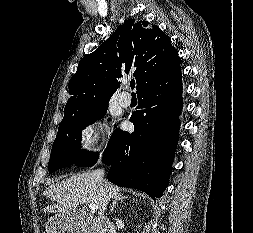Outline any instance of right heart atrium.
<instances>
[{"instance_id":"obj_1","label":"right heart atrium","mask_w":253,"mask_h":233,"mask_svg":"<svg viewBox=\"0 0 253 233\" xmlns=\"http://www.w3.org/2000/svg\"><path fill=\"white\" fill-rule=\"evenodd\" d=\"M79 144L82 150L89 151L101 144V128L97 123L86 124L80 132Z\"/></svg>"}]
</instances>
